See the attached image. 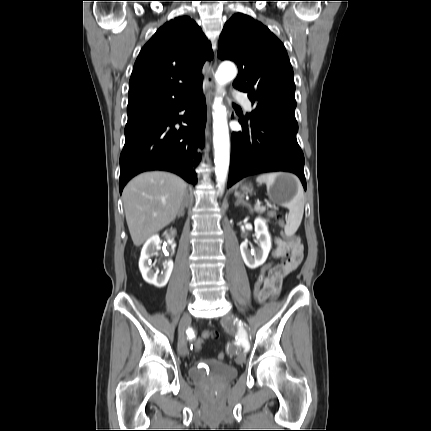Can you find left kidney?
Masks as SVG:
<instances>
[{"label": "left kidney", "instance_id": "obj_1", "mask_svg": "<svg viewBox=\"0 0 431 431\" xmlns=\"http://www.w3.org/2000/svg\"><path fill=\"white\" fill-rule=\"evenodd\" d=\"M254 226L258 247L250 251L247 241L242 242L240 245L243 261L250 269H256L263 265L271 250V236L268 232L266 221L258 217L254 221Z\"/></svg>", "mask_w": 431, "mask_h": 431}]
</instances>
